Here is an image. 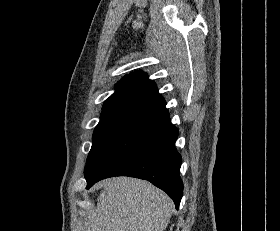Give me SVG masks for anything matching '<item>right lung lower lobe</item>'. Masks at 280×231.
<instances>
[{
	"label": "right lung lower lobe",
	"instance_id": "right-lung-lower-lobe-1",
	"mask_svg": "<svg viewBox=\"0 0 280 231\" xmlns=\"http://www.w3.org/2000/svg\"><path fill=\"white\" fill-rule=\"evenodd\" d=\"M178 132L168 112L125 130L85 168L86 189L108 177H136L164 190L178 209L183 193L182 158L175 148Z\"/></svg>",
	"mask_w": 280,
	"mask_h": 231
}]
</instances>
